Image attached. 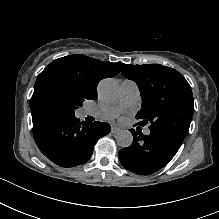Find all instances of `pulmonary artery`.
<instances>
[{
  "label": "pulmonary artery",
  "instance_id": "e3ab8cb5",
  "mask_svg": "<svg viewBox=\"0 0 219 219\" xmlns=\"http://www.w3.org/2000/svg\"><path fill=\"white\" fill-rule=\"evenodd\" d=\"M140 95V90L137 83L133 80L125 79L120 84L119 105L116 107L102 108H83L82 116H92L99 121L105 122L114 119L121 112L122 108L135 103ZM144 133L148 135L150 130L145 129Z\"/></svg>",
  "mask_w": 219,
  "mask_h": 219
}]
</instances>
